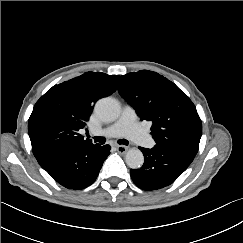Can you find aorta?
I'll return each instance as SVG.
<instances>
[{
  "mask_svg": "<svg viewBox=\"0 0 243 243\" xmlns=\"http://www.w3.org/2000/svg\"><path fill=\"white\" fill-rule=\"evenodd\" d=\"M95 112L103 121H114L120 115V105L113 98H102L96 103ZM125 160L130 168L138 169L144 163V156L139 149L131 148L126 152Z\"/></svg>",
  "mask_w": 243,
  "mask_h": 243,
  "instance_id": "1",
  "label": "aorta"
}]
</instances>
